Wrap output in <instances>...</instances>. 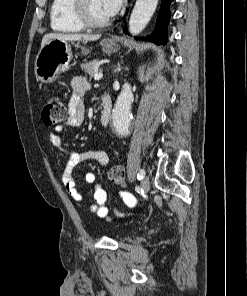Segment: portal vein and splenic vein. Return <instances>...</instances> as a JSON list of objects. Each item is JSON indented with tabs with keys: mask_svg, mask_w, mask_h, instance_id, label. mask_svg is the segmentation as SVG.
<instances>
[{
	"mask_svg": "<svg viewBox=\"0 0 247 296\" xmlns=\"http://www.w3.org/2000/svg\"><path fill=\"white\" fill-rule=\"evenodd\" d=\"M102 77H103V74H102V73H96V74L94 75V79H95L96 81L100 80Z\"/></svg>",
	"mask_w": 247,
	"mask_h": 296,
	"instance_id": "1",
	"label": "portal vein and splenic vein"
}]
</instances>
